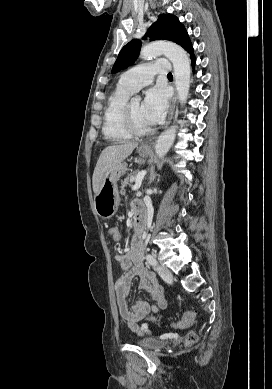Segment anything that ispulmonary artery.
Returning <instances> with one entry per match:
<instances>
[{
    "label": "pulmonary artery",
    "instance_id": "e3ab8cb5",
    "mask_svg": "<svg viewBox=\"0 0 272 389\" xmlns=\"http://www.w3.org/2000/svg\"><path fill=\"white\" fill-rule=\"evenodd\" d=\"M170 68L171 66L167 59L143 63L125 72L121 76L119 83L129 88L132 92H136L151 83L156 74L169 73Z\"/></svg>",
    "mask_w": 272,
    "mask_h": 389
}]
</instances>
